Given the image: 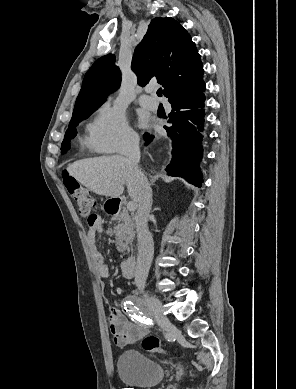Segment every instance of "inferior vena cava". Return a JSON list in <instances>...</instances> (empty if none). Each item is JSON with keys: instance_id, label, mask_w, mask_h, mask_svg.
Here are the masks:
<instances>
[{"instance_id": "1", "label": "inferior vena cava", "mask_w": 296, "mask_h": 389, "mask_svg": "<svg viewBox=\"0 0 296 389\" xmlns=\"http://www.w3.org/2000/svg\"><path fill=\"white\" fill-rule=\"evenodd\" d=\"M124 154L132 169L139 185V203L135 215L136 232L139 245L143 254L139 257L135 273V284L138 290L143 293L146 279L152 262L153 239L148 230L147 222L152 207V190L147 178L138 167L140 160L139 136L131 134L128 136Z\"/></svg>"}]
</instances>
